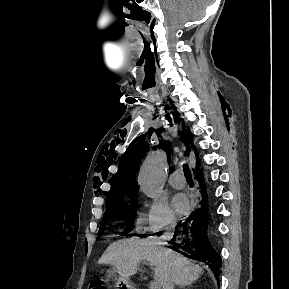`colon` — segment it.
Segmentation results:
<instances>
[{"label":"colon","instance_id":"colon-1","mask_svg":"<svg viewBox=\"0 0 289 289\" xmlns=\"http://www.w3.org/2000/svg\"><path fill=\"white\" fill-rule=\"evenodd\" d=\"M89 289H109V287L102 280H94L90 283Z\"/></svg>","mask_w":289,"mask_h":289}]
</instances>
